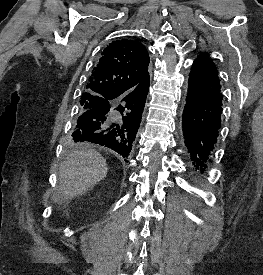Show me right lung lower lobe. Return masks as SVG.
<instances>
[{
    "label": "right lung lower lobe",
    "mask_w": 263,
    "mask_h": 275,
    "mask_svg": "<svg viewBox=\"0 0 263 275\" xmlns=\"http://www.w3.org/2000/svg\"><path fill=\"white\" fill-rule=\"evenodd\" d=\"M149 82L148 77L144 90L139 95L144 102ZM129 100L128 95L117 93L104 99L103 105L81 112L72 133V140L99 144L128 157L143 113V110L131 107ZM113 110H116L115 114H112Z\"/></svg>",
    "instance_id": "obj_1"
}]
</instances>
